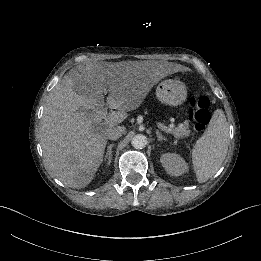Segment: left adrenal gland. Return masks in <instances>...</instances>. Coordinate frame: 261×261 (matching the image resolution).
Masks as SVG:
<instances>
[{
  "mask_svg": "<svg viewBox=\"0 0 261 261\" xmlns=\"http://www.w3.org/2000/svg\"><path fill=\"white\" fill-rule=\"evenodd\" d=\"M156 135H157L158 141H161V140L166 141V138L159 132V130H156Z\"/></svg>",
  "mask_w": 261,
  "mask_h": 261,
  "instance_id": "a2214340",
  "label": "left adrenal gland"
}]
</instances>
